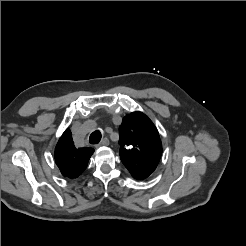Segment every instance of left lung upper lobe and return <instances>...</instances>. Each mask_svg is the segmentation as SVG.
Segmentation results:
<instances>
[{
    "instance_id": "1",
    "label": "left lung upper lobe",
    "mask_w": 246,
    "mask_h": 246,
    "mask_svg": "<svg viewBox=\"0 0 246 246\" xmlns=\"http://www.w3.org/2000/svg\"><path fill=\"white\" fill-rule=\"evenodd\" d=\"M120 158L135 179H146L157 167L162 144L152 121L142 112L123 118L119 128Z\"/></svg>"
}]
</instances>
